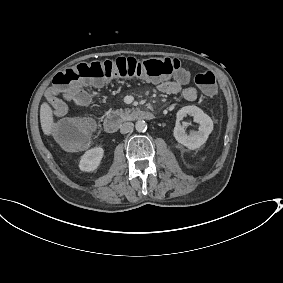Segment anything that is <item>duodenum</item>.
Here are the masks:
<instances>
[{
    "label": "duodenum",
    "mask_w": 283,
    "mask_h": 283,
    "mask_svg": "<svg viewBox=\"0 0 283 283\" xmlns=\"http://www.w3.org/2000/svg\"><path fill=\"white\" fill-rule=\"evenodd\" d=\"M136 118L140 120H152L155 118V114L151 111L141 110L137 112ZM122 123V119L118 114H108L104 117L103 125L104 129L108 133H115L119 129Z\"/></svg>",
    "instance_id": "duodenum-1"
}]
</instances>
